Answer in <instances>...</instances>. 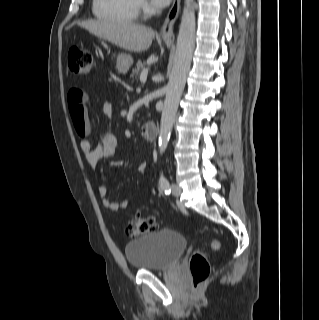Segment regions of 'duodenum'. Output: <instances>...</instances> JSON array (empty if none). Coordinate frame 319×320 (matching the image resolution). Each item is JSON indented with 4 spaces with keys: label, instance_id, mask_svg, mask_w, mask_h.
<instances>
[{
    "label": "duodenum",
    "instance_id": "obj_1",
    "mask_svg": "<svg viewBox=\"0 0 319 320\" xmlns=\"http://www.w3.org/2000/svg\"><path fill=\"white\" fill-rule=\"evenodd\" d=\"M140 133L144 139L154 141L158 136V127L155 123L147 122L141 126Z\"/></svg>",
    "mask_w": 319,
    "mask_h": 320
}]
</instances>
